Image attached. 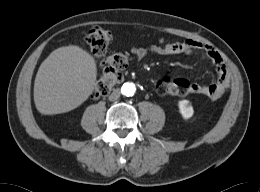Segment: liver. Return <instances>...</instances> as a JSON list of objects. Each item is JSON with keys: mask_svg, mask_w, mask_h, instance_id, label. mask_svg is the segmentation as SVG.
<instances>
[{"mask_svg": "<svg viewBox=\"0 0 260 192\" xmlns=\"http://www.w3.org/2000/svg\"><path fill=\"white\" fill-rule=\"evenodd\" d=\"M96 61L77 45L54 50L40 65L34 81V102L41 114L71 111L91 95Z\"/></svg>", "mask_w": 260, "mask_h": 192, "instance_id": "6515ba94", "label": "liver"}]
</instances>
